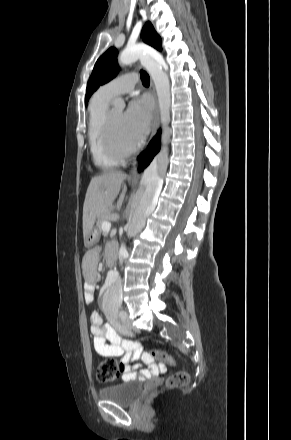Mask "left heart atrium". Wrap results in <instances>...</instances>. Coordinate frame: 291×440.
Wrapping results in <instances>:
<instances>
[{
  "instance_id": "obj_1",
  "label": "left heart atrium",
  "mask_w": 291,
  "mask_h": 440,
  "mask_svg": "<svg viewBox=\"0 0 291 440\" xmlns=\"http://www.w3.org/2000/svg\"><path fill=\"white\" fill-rule=\"evenodd\" d=\"M129 136L135 142L147 133L151 122V104L145 97L133 100L124 113Z\"/></svg>"
}]
</instances>
